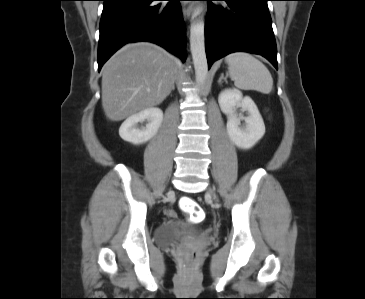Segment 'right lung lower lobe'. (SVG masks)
Returning <instances> with one entry per match:
<instances>
[{
  "label": "right lung lower lobe",
  "instance_id": "98d812e1",
  "mask_svg": "<svg viewBox=\"0 0 365 299\" xmlns=\"http://www.w3.org/2000/svg\"><path fill=\"white\" fill-rule=\"evenodd\" d=\"M102 1L99 71L113 53L129 42H153L177 55L183 62L186 60L185 27L180 0Z\"/></svg>",
  "mask_w": 365,
  "mask_h": 299
}]
</instances>
